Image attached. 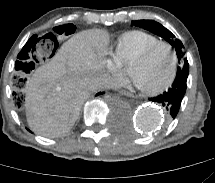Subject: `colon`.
<instances>
[{
    "label": "colon",
    "instance_id": "colon-1",
    "mask_svg": "<svg viewBox=\"0 0 215 183\" xmlns=\"http://www.w3.org/2000/svg\"><path fill=\"white\" fill-rule=\"evenodd\" d=\"M75 27L71 23L56 25L52 33H43L31 38L21 52L18 62L19 71L12 78V85L15 90V97L19 103H23L24 88L27 76L34 70L35 66L51 59L59 46L61 40L70 37Z\"/></svg>",
    "mask_w": 215,
    "mask_h": 183
}]
</instances>
